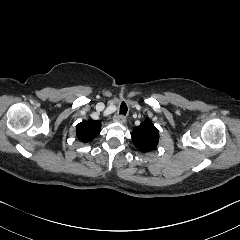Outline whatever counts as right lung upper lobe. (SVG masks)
Wrapping results in <instances>:
<instances>
[{
    "label": "right lung upper lobe",
    "instance_id": "cb5924a9",
    "mask_svg": "<svg viewBox=\"0 0 240 240\" xmlns=\"http://www.w3.org/2000/svg\"><path fill=\"white\" fill-rule=\"evenodd\" d=\"M100 128V121L84 120L77 125V137L82 142H89L100 133Z\"/></svg>",
    "mask_w": 240,
    "mask_h": 240
}]
</instances>
